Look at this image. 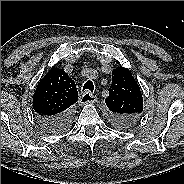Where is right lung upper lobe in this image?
<instances>
[{
    "label": "right lung upper lobe",
    "mask_w": 184,
    "mask_h": 184,
    "mask_svg": "<svg viewBox=\"0 0 184 184\" xmlns=\"http://www.w3.org/2000/svg\"><path fill=\"white\" fill-rule=\"evenodd\" d=\"M77 99L75 82L63 69L52 67L36 88L33 110L38 118L55 117L69 111Z\"/></svg>",
    "instance_id": "obj_1"
}]
</instances>
